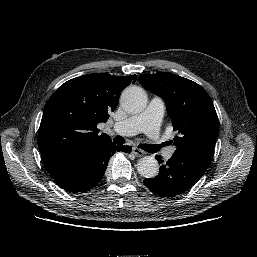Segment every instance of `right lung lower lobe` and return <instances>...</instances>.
<instances>
[{
    "label": "right lung lower lobe",
    "instance_id": "right-lung-lower-lobe-1",
    "mask_svg": "<svg viewBox=\"0 0 257 257\" xmlns=\"http://www.w3.org/2000/svg\"><path fill=\"white\" fill-rule=\"evenodd\" d=\"M130 146L113 143L79 154L49 171L62 189L77 193L86 192L103 178L110 157L118 151L131 152Z\"/></svg>",
    "mask_w": 257,
    "mask_h": 257
}]
</instances>
